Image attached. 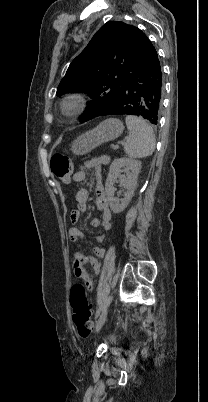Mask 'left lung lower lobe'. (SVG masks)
Instances as JSON below:
<instances>
[{
  "instance_id": "1",
  "label": "left lung lower lobe",
  "mask_w": 208,
  "mask_h": 402,
  "mask_svg": "<svg viewBox=\"0 0 208 402\" xmlns=\"http://www.w3.org/2000/svg\"><path fill=\"white\" fill-rule=\"evenodd\" d=\"M131 39L135 43V68L120 86L116 99L98 116L136 115L157 125L163 95L160 61L150 40L137 27H134Z\"/></svg>"
}]
</instances>
